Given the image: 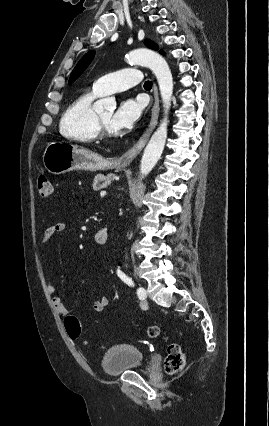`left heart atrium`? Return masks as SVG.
I'll return each instance as SVG.
<instances>
[{"mask_svg": "<svg viewBox=\"0 0 269 426\" xmlns=\"http://www.w3.org/2000/svg\"><path fill=\"white\" fill-rule=\"evenodd\" d=\"M144 105L137 99H126L114 112L110 127L113 131H122L133 126L140 118Z\"/></svg>", "mask_w": 269, "mask_h": 426, "instance_id": "1", "label": "left heart atrium"}]
</instances>
